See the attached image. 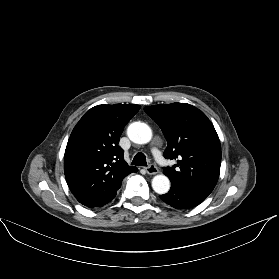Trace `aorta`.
Wrapping results in <instances>:
<instances>
[{"mask_svg":"<svg viewBox=\"0 0 279 279\" xmlns=\"http://www.w3.org/2000/svg\"><path fill=\"white\" fill-rule=\"evenodd\" d=\"M127 135L134 143L146 144L152 138V130L143 122H133L127 129ZM152 188L158 194H165L170 189V180L163 174L156 175L152 179Z\"/></svg>","mask_w":279,"mask_h":279,"instance_id":"1","label":"aorta"}]
</instances>
